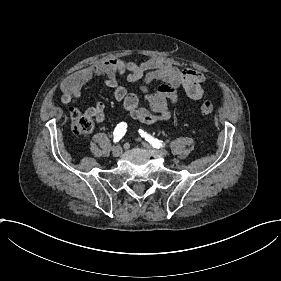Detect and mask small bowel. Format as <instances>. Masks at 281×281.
<instances>
[{"label":"small bowel","mask_w":281,"mask_h":281,"mask_svg":"<svg viewBox=\"0 0 281 281\" xmlns=\"http://www.w3.org/2000/svg\"><path fill=\"white\" fill-rule=\"evenodd\" d=\"M118 75H124L131 82L143 81L146 107H140L137 96L127 93L119 85ZM96 79H102L113 90L114 99L123 103L134 119L144 123L168 121L171 118L168 104L178 102L180 91L192 100H201L205 96L202 87L204 75L197 69L180 71L158 59L136 63L114 58L98 62L68 77L60 86L62 101L65 104H75L81 98L82 88ZM154 80L163 81V85L156 92H149L146 85ZM105 110V104L97 101L95 107L88 109L86 113L100 122Z\"/></svg>","instance_id":"small-bowel-1"}]
</instances>
